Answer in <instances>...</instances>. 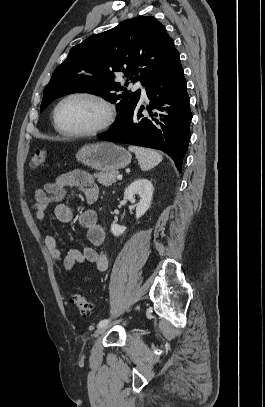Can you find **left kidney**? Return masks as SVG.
<instances>
[{"instance_id": "left-kidney-1", "label": "left kidney", "mask_w": 265, "mask_h": 407, "mask_svg": "<svg viewBox=\"0 0 265 407\" xmlns=\"http://www.w3.org/2000/svg\"><path fill=\"white\" fill-rule=\"evenodd\" d=\"M153 185L151 181L147 179H137L132 182L124 191V197L131 203H135L134 196L137 194L140 197L139 202L136 206V218L142 217L146 211L149 209L152 196H153ZM126 231L125 226H120L117 224L111 225V232L114 236L118 237Z\"/></svg>"}]
</instances>
